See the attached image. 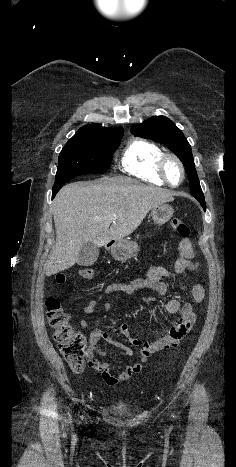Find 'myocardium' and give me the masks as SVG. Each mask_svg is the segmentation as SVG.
<instances>
[{"mask_svg":"<svg viewBox=\"0 0 236 467\" xmlns=\"http://www.w3.org/2000/svg\"><path fill=\"white\" fill-rule=\"evenodd\" d=\"M169 160H173L174 162H176L177 165L180 168L181 180L177 184H172L168 179L167 171H166V165H167V162ZM157 172H158L159 176L163 179V181L170 187L180 186L184 182L185 176H186V171H185V167H184L183 162L180 160L179 157H177L173 153H163V155L160 157V159L158 161V164H157Z\"/></svg>","mask_w":236,"mask_h":467,"instance_id":"obj_1","label":"myocardium"}]
</instances>
